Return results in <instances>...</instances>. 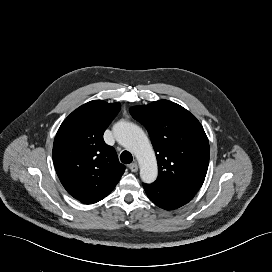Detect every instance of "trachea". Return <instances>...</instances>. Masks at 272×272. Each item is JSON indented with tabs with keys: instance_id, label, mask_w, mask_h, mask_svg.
<instances>
[{
	"instance_id": "obj_1",
	"label": "trachea",
	"mask_w": 272,
	"mask_h": 272,
	"mask_svg": "<svg viewBox=\"0 0 272 272\" xmlns=\"http://www.w3.org/2000/svg\"><path fill=\"white\" fill-rule=\"evenodd\" d=\"M120 160H121L122 163L129 164V163L132 162L133 157H132V155H131L130 152H128V151H123V152L121 153V155H120Z\"/></svg>"
}]
</instances>
